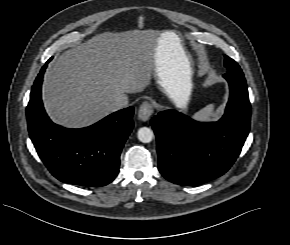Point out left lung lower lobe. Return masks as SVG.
I'll return each mask as SVG.
<instances>
[{"label":"left lung lower lobe","instance_id":"left-lung-lower-lobe-1","mask_svg":"<svg viewBox=\"0 0 290 245\" xmlns=\"http://www.w3.org/2000/svg\"><path fill=\"white\" fill-rule=\"evenodd\" d=\"M230 87L225 114L217 122L201 123L174 110L151 120L157 139L158 169L170 182L199 185L232 166L250 128L251 106L243 73L227 72Z\"/></svg>","mask_w":290,"mask_h":245}]
</instances>
